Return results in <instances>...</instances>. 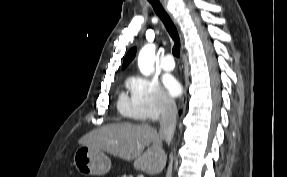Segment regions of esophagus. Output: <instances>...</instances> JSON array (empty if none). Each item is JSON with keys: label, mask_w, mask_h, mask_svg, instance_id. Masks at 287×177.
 Masks as SVG:
<instances>
[{"label": "esophagus", "mask_w": 287, "mask_h": 177, "mask_svg": "<svg viewBox=\"0 0 287 177\" xmlns=\"http://www.w3.org/2000/svg\"><path fill=\"white\" fill-rule=\"evenodd\" d=\"M160 3L162 4L163 8L165 9V11L170 15L171 18H173L171 12L168 9V0H159Z\"/></svg>", "instance_id": "esophagus-1"}]
</instances>
